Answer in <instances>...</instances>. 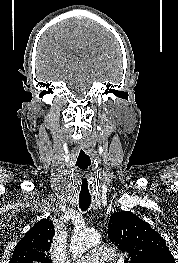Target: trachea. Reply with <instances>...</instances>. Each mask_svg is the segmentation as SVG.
<instances>
[{
	"label": "trachea",
	"mask_w": 178,
	"mask_h": 263,
	"mask_svg": "<svg viewBox=\"0 0 178 263\" xmlns=\"http://www.w3.org/2000/svg\"><path fill=\"white\" fill-rule=\"evenodd\" d=\"M79 170L82 174V178L79 184V207L82 211H86L90 207V204H91L90 189H89L88 180L86 177L87 168L80 167Z\"/></svg>",
	"instance_id": "1"
}]
</instances>
